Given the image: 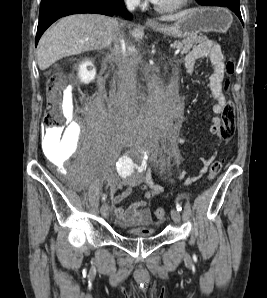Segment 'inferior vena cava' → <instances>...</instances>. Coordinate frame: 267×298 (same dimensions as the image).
<instances>
[{
    "label": "inferior vena cava",
    "mask_w": 267,
    "mask_h": 298,
    "mask_svg": "<svg viewBox=\"0 0 267 298\" xmlns=\"http://www.w3.org/2000/svg\"><path fill=\"white\" fill-rule=\"evenodd\" d=\"M125 4L127 9L132 12L139 4V0H125ZM120 44L113 51V56L118 61L120 77L116 106L120 115L128 117L133 113L136 102L138 53L134 45L126 46L123 40H120Z\"/></svg>",
    "instance_id": "602c4592"
}]
</instances>
